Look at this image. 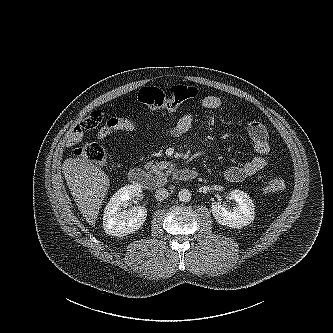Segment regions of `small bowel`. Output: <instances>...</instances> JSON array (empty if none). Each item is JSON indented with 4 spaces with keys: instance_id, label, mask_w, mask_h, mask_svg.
<instances>
[{
    "instance_id": "small-bowel-1",
    "label": "small bowel",
    "mask_w": 333,
    "mask_h": 333,
    "mask_svg": "<svg viewBox=\"0 0 333 333\" xmlns=\"http://www.w3.org/2000/svg\"><path fill=\"white\" fill-rule=\"evenodd\" d=\"M132 106L136 103L131 102ZM223 105V101L216 95H208L203 97L198 108L203 110H217ZM104 118V111L97 109L87 116L76 126L67 136V146L78 144L84 135V130L95 128ZM194 122V114L192 112L185 113L178 121L165 131V135L169 137H180L190 131ZM137 125L134 121L127 119L110 118L98 130L97 137L105 139L112 133L122 130H134ZM247 133L253 143L255 155L242 164L228 166L224 171V176L228 181L239 182L247 177L253 176L266 166V156L270 151L269 135L266 127L257 121H252L247 127Z\"/></svg>"
}]
</instances>
